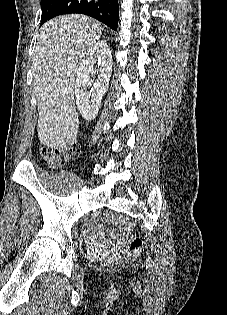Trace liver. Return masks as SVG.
Listing matches in <instances>:
<instances>
[{"label":"liver","mask_w":227,"mask_h":315,"mask_svg":"<svg viewBox=\"0 0 227 315\" xmlns=\"http://www.w3.org/2000/svg\"><path fill=\"white\" fill-rule=\"evenodd\" d=\"M102 30L100 22L79 14L58 16L42 26L32 58L41 144L57 148L76 140L79 120L75 78L83 57Z\"/></svg>","instance_id":"obj_1"}]
</instances>
